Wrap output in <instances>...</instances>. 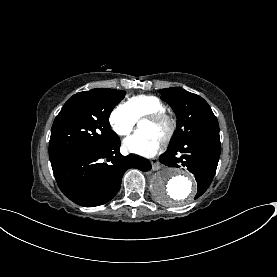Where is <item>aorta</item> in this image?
<instances>
[{
    "instance_id": "762f6f07",
    "label": "aorta",
    "mask_w": 277,
    "mask_h": 277,
    "mask_svg": "<svg viewBox=\"0 0 277 277\" xmlns=\"http://www.w3.org/2000/svg\"><path fill=\"white\" fill-rule=\"evenodd\" d=\"M151 190L163 204H187L194 197L197 185L189 173L180 169L165 168L153 177Z\"/></svg>"
}]
</instances>
